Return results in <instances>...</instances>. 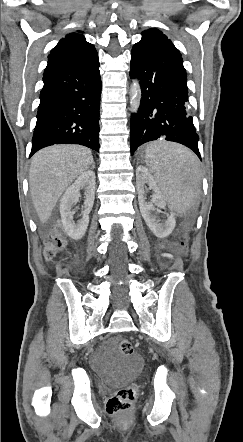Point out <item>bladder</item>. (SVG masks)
Returning <instances> with one entry per match:
<instances>
[{"label": "bladder", "mask_w": 243, "mask_h": 442, "mask_svg": "<svg viewBox=\"0 0 243 442\" xmlns=\"http://www.w3.org/2000/svg\"><path fill=\"white\" fill-rule=\"evenodd\" d=\"M141 367V360L138 357L124 355L116 362L115 378L120 381H128L137 376Z\"/></svg>", "instance_id": "bladder-1"}]
</instances>
